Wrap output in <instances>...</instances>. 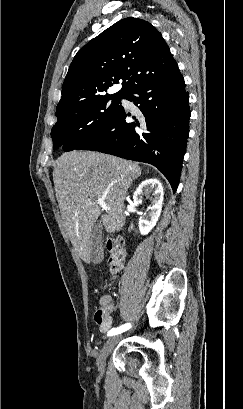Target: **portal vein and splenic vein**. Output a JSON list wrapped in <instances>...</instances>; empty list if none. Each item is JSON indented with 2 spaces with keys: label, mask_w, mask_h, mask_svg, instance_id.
<instances>
[{
  "label": "portal vein and splenic vein",
  "mask_w": 243,
  "mask_h": 409,
  "mask_svg": "<svg viewBox=\"0 0 243 409\" xmlns=\"http://www.w3.org/2000/svg\"><path fill=\"white\" fill-rule=\"evenodd\" d=\"M97 203H98V205H99L102 209H104V210H107V209H108V207L106 206V203H105V201H104L103 198H99V199L97 200Z\"/></svg>",
  "instance_id": "portal-vein-and-splenic-vein-1"
}]
</instances>
